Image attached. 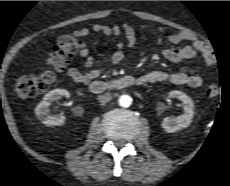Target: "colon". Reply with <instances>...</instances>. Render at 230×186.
Here are the masks:
<instances>
[{"instance_id":"1","label":"colon","mask_w":230,"mask_h":186,"mask_svg":"<svg viewBox=\"0 0 230 186\" xmlns=\"http://www.w3.org/2000/svg\"><path fill=\"white\" fill-rule=\"evenodd\" d=\"M82 47L83 43L79 33L60 37L53 47L55 68L64 67ZM53 80L54 73L51 70L19 76L15 81V95L21 99L35 97L46 91ZM219 92L220 87L216 83H211L206 88V95L211 98L216 97Z\"/></svg>"}]
</instances>
